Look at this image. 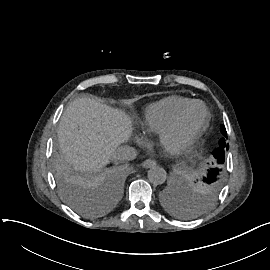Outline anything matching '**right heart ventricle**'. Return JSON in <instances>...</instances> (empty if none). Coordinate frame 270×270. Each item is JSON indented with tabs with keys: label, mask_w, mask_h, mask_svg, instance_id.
Segmentation results:
<instances>
[{
	"label": "right heart ventricle",
	"mask_w": 270,
	"mask_h": 270,
	"mask_svg": "<svg viewBox=\"0 0 270 270\" xmlns=\"http://www.w3.org/2000/svg\"><path fill=\"white\" fill-rule=\"evenodd\" d=\"M192 103H194L193 99L170 95L149 104L145 109V129L150 133L159 134L183 109Z\"/></svg>",
	"instance_id": "right-heart-ventricle-1"
}]
</instances>
